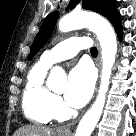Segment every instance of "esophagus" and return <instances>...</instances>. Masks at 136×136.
I'll use <instances>...</instances> for the list:
<instances>
[{
	"label": "esophagus",
	"mask_w": 136,
	"mask_h": 136,
	"mask_svg": "<svg viewBox=\"0 0 136 136\" xmlns=\"http://www.w3.org/2000/svg\"><path fill=\"white\" fill-rule=\"evenodd\" d=\"M97 46H98V58H97V61H96V65L98 67V70L100 71V68H101V54H100V47L97 43ZM78 120H75V121H72L71 123L67 124V125H63L61 127L58 128V132H61V133H70V129L76 125Z\"/></svg>",
	"instance_id": "1"
}]
</instances>
